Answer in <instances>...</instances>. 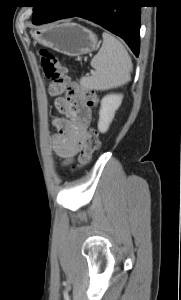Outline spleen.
<instances>
[{
    "label": "spleen",
    "mask_w": 181,
    "mask_h": 300,
    "mask_svg": "<svg viewBox=\"0 0 181 300\" xmlns=\"http://www.w3.org/2000/svg\"><path fill=\"white\" fill-rule=\"evenodd\" d=\"M102 37V46L91 60L95 73L80 79L83 87L97 91L126 84L133 68L131 57L123 44L108 32H103Z\"/></svg>",
    "instance_id": "spleen-1"
}]
</instances>
